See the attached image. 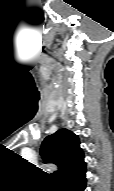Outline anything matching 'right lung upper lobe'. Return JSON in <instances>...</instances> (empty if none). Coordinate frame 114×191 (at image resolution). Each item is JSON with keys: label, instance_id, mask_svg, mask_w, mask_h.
<instances>
[{"label": "right lung upper lobe", "instance_id": "1", "mask_svg": "<svg viewBox=\"0 0 114 191\" xmlns=\"http://www.w3.org/2000/svg\"><path fill=\"white\" fill-rule=\"evenodd\" d=\"M77 135L67 129H60L47 136L41 145L40 154L45 162L58 166L54 179L60 182L65 177L86 168L84 154L79 147Z\"/></svg>", "mask_w": 114, "mask_h": 191}]
</instances>
